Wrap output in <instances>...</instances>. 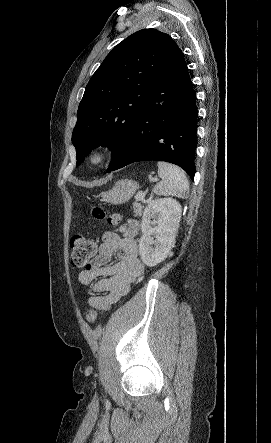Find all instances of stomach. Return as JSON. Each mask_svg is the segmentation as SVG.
<instances>
[{"instance_id":"stomach-1","label":"stomach","mask_w":271,"mask_h":443,"mask_svg":"<svg viewBox=\"0 0 271 443\" xmlns=\"http://www.w3.org/2000/svg\"><path fill=\"white\" fill-rule=\"evenodd\" d=\"M138 182H133V180H119L114 184L112 190L109 192H103L101 198L102 202H107V204H126L132 196H134L136 190H138Z\"/></svg>"}]
</instances>
